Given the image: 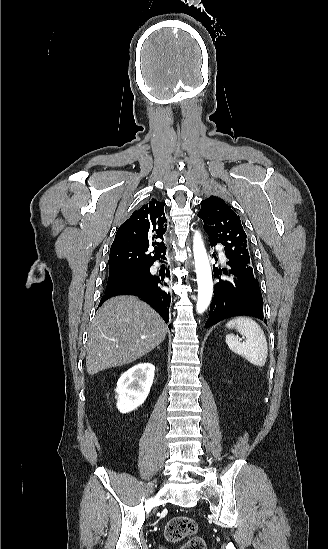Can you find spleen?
<instances>
[{
    "mask_svg": "<svg viewBox=\"0 0 328 549\" xmlns=\"http://www.w3.org/2000/svg\"><path fill=\"white\" fill-rule=\"evenodd\" d=\"M227 329H237L240 335L246 337V343H239L235 335H227L226 345L230 351L247 359L256 367H264L268 357V345L264 331L250 317H234L228 321Z\"/></svg>",
    "mask_w": 328,
    "mask_h": 549,
    "instance_id": "obj_1",
    "label": "spleen"
}]
</instances>
